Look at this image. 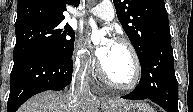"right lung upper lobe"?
Listing matches in <instances>:
<instances>
[{
	"label": "right lung upper lobe",
	"instance_id": "1",
	"mask_svg": "<svg viewBox=\"0 0 193 112\" xmlns=\"http://www.w3.org/2000/svg\"><path fill=\"white\" fill-rule=\"evenodd\" d=\"M80 0H18L16 29L39 23H61L66 5Z\"/></svg>",
	"mask_w": 193,
	"mask_h": 112
}]
</instances>
